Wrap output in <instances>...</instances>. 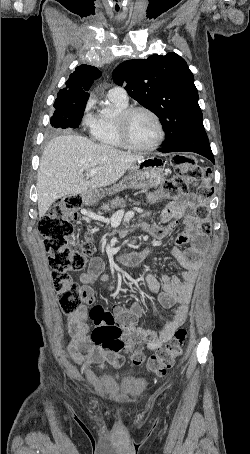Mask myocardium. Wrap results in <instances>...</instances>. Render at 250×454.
<instances>
[{"mask_svg":"<svg viewBox=\"0 0 250 454\" xmlns=\"http://www.w3.org/2000/svg\"><path fill=\"white\" fill-rule=\"evenodd\" d=\"M138 112H144L150 115L154 119L158 129L157 139L147 147H140L135 145L130 138L129 121L131 117ZM116 126L123 146L135 152L146 153L154 151L162 144L165 139V130L159 115L152 109L145 106H131L120 111L116 116Z\"/></svg>","mask_w":250,"mask_h":454,"instance_id":"myocardium-1","label":"myocardium"}]
</instances>
